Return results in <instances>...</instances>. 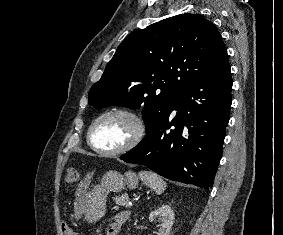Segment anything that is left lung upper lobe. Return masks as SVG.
<instances>
[{"mask_svg": "<svg viewBox=\"0 0 283 235\" xmlns=\"http://www.w3.org/2000/svg\"><path fill=\"white\" fill-rule=\"evenodd\" d=\"M228 61L217 28L199 14L166 18L128 35L89 91L94 108L142 107L146 133L191 81Z\"/></svg>", "mask_w": 283, "mask_h": 235, "instance_id": "obj_1", "label": "left lung upper lobe"}]
</instances>
